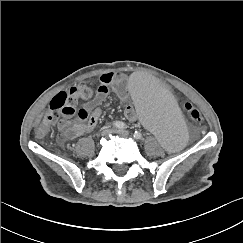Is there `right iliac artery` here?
I'll list each match as a JSON object with an SVG mask.
<instances>
[{
	"mask_svg": "<svg viewBox=\"0 0 243 243\" xmlns=\"http://www.w3.org/2000/svg\"><path fill=\"white\" fill-rule=\"evenodd\" d=\"M112 125L118 129H125V124L121 121H115Z\"/></svg>",
	"mask_w": 243,
	"mask_h": 243,
	"instance_id": "1",
	"label": "right iliac artery"
}]
</instances>
